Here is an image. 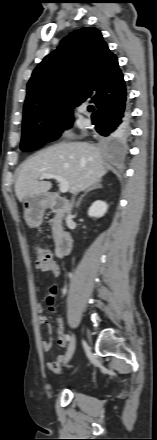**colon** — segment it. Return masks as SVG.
Returning a JSON list of instances; mask_svg holds the SVG:
<instances>
[{"mask_svg":"<svg viewBox=\"0 0 157 440\" xmlns=\"http://www.w3.org/2000/svg\"><path fill=\"white\" fill-rule=\"evenodd\" d=\"M34 252L36 255V267L45 266L52 260L50 252L41 246H36ZM53 292H55V289H53ZM50 302H52V298H50Z\"/></svg>","mask_w":157,"mask_h":440,"instance_id":"colon-1","label":"colon"}]
</instances>
